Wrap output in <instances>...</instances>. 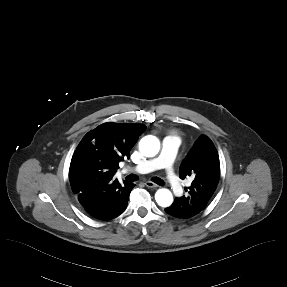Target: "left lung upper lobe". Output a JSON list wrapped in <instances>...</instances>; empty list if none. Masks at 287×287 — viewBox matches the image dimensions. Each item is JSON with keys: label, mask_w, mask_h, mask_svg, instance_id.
<instances>
[{"label": "left lung upper lobe", "mask_w": 287, "mask_h": 287, "mask_svg": "<svg viewBox=\"0 0 287 287\" xmlns=\"http://www.w3.org/2000/svg\"><path fill=\"white\" fill-rule=\"evenodd\" d=\"M179 175L181 179L192 177L191 186L186 189L187 196L181 197L185 205L203 210L214 191L220 177V163L212 141L201 135L182 162Z\"/></svg>", "instance_id": "5c2ea615"}]
</instances>
